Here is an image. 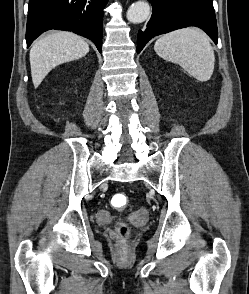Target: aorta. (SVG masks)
Here are the masks:
<instances>
[{
    "label": "aorta",
    "instance_id": "762f6f07",
    "mask_svg": "<svg viewBox=\"0 0 249 294\" xmlns=\"http://www.w3.org/2000/svg\"><path fill=\"white\" fill-rule=\"evenodd\" d=\"M150 15V6L147 2L138 1L130 6L127 11V19L132 23H142Z\"/></svg>",
    "mask_w": 249,
    "mask_h": 294
}]
</instances>
